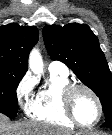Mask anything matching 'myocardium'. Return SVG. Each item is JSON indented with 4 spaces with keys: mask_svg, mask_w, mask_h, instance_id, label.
<instances>
[{
    "mask_svg": "<svg viewBox=\"0 0 112 135\" xmlns=\"http://www.w3.org/2000/svg\"><path fill=\"white\" fill-rule=\"evenodd\" d=\"M77 90H85L86 92H88L93 97V99L95 100V102L97 104L98 116H97L96 120L91 124H83L82 122H80L78 120V118L76 117V115L74 113L73 96ZM61 102H62V106H63V109H64L66 115L78 127L92 128L100 122V120L103 116V105H102L101 99L99 98L97 93L91 87H89L85 84H71V85L67 86L66 88H64L61 93Z\"/></svg>",
    "mask_w": 112,
    "mask_h": 135,
    "instance_id": "obj_1",
    "label": "myocardium"
}]
</instances>
